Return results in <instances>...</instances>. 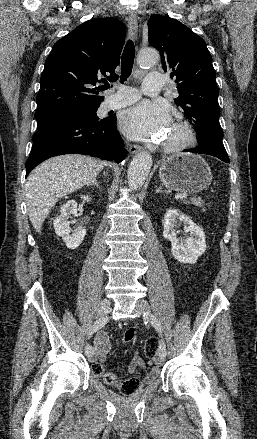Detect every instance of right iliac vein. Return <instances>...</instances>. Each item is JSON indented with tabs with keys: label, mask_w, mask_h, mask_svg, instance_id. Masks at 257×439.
I'll list each match as a JSON object with an SVG mask.
<instances>
[{
	"label": "right iliac vein",
	"mask_w": 257,
	"mask_h": 439,
	"mask_svg": "<svg viewBox=\"0 0 257 439\" xmlns=\"http://www.w3.org/2000/svg\"><path fill=\"white\" fill-rule=\"evenodd\" d=\"M109 311H110L109 299H102L99 302L96 316H97V318H101V317L105 316L107 313H109ZM88 358H89V361H91V362L95 360L94 354L89 355Z\"/></svg>",
	"instance_id": "right-iliac-vein-1"
}]
</instances>
